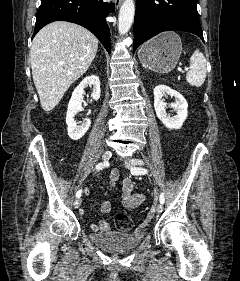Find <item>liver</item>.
I'll return each mask as SVG.
<instances>
[{
	"label": "liver",
	"instance_id": "1",
	"mask_svg": "<svg viewBox=\"0 0 240 281\" xmlns=\"http://www.w3.org/2000/svg\"><path fill=\"white\" fill-rule=\"evenodd\" d=\"M97 49L98 39L90 31L66 21L52 22L36 34L30 62L44 111L57 106L70 85L88 70Z\"/></svg>",
	"mask_w": 240,
	"mask_h": 281
}]
</instances>
